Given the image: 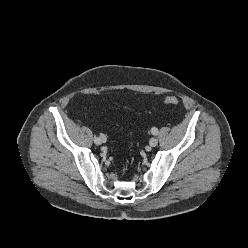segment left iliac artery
<instances>
[{
	"label": "left iliac artery",
	"instance_id": "left-iliac-artery-1",
	"mask_svg": "<svg viewBox=\"0 0 248 248\" xmlns=\"http://www.w3.org/2000/svg\"><path fill=\"white\" fill-rule=\"evenodd\" d=\"M151 132H152L153 135H157L158 134V129L156 127H153L151 129Z\"/></svg>",
	"mask_w": 248,
	"mask_h": 248
}]
</instances>
